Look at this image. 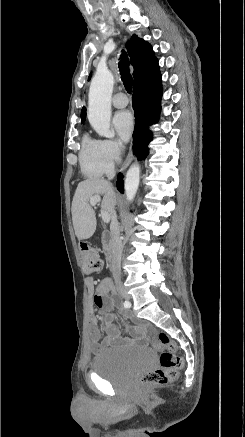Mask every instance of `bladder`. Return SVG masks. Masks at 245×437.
<instances>
[{
	"instance_id": "bladder-1",
	"label": "bladder",
	"mask_w": 245,
	"mask_h": 437,
	"mask_svg": "<svg viewBox=\"0 0 245 437\" xmlns=\"http://www.w3.org/2000/svg\"><path fill=\"white\" fill-rule=\"evenodd\" d=\"M154 360V352L150 348L134 350L112 348L95 356L91 368L110 383L125 385L138 374L150 369Z\"/></svg>"
}]
</instances>
